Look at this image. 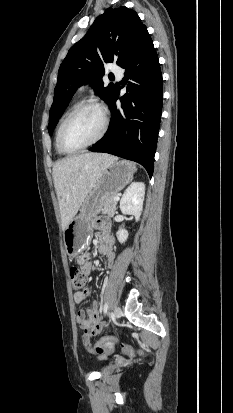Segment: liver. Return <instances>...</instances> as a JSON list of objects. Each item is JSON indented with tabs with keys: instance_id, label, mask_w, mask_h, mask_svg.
<instances>
[{
	"instance_id": "6515ba94",
	"label": "liver",
	"mask_w": 233,
	"mask_h": 413,
	"mask_svg": "<svg viewBox=\"0 0 233 413\" xmlns=\"http://www.w3.org/2000/svg\"><path fill=\"white\" fill-rule=\"evenodd\" d=\"M116 160L108 154L85 153L55 162L53 180L63 230L75 217L105 168Z\"/></svg>"
}]
</instances>
